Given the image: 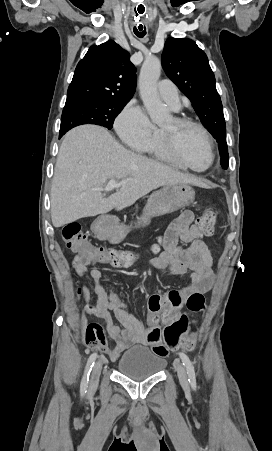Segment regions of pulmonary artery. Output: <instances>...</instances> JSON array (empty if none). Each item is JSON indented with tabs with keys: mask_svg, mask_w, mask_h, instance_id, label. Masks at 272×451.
Instances as JSON below:
<instances>
[{
	"mask_svg": "<svg viewBox=\"0 0 272 451\" xmlns=\"http://www.w3.org/2000/svg\"><path fill=\"white\" fill-rule=\"evenodd\" d=\"M158 92L160 97L169 103L173 109L177 110L180 107L179 91L176 85L171 81H160L158 83Z\"/></svg>",
	"mask_w": 272,
	"mask_h": 451,
	"instance_id": "1",
	"label": "pulmonary artery"
}]
</instances>
